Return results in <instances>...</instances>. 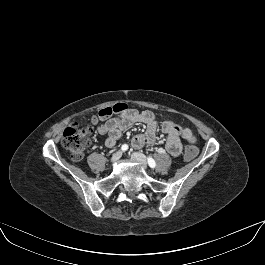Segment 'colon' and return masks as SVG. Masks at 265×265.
I'll list each match as a JSON object with an SVG mask.
<instances>
[{
	"mask_svg": "<svg viewBox=\"0 0 265 265\" xmlns=\"http://www.w3.org/2000/svg\"><path fill=\"white\" fill-rule=\"evenodd\" d=\"M129 108L124 103H118L111 107H106L98 112V119L107 120L114 114H122ZM95 133L91 127H81L73 124L65 129L62 138V146L73 160H81L88 146L92 143ZM198 154L195 146H188L184 152L186 160L194 159Z\"/></svg>",
	"mask_w": 265,
	"mask_h": 265,
	"instance_id": "colon-1",
	"label": "colon"
}]
</instances>
